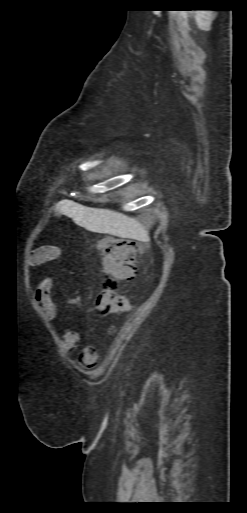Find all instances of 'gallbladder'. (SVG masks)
<instances>
[{
	"mask_svg": "<svg viewBox=\"0 0 247 513\" xmlns=\"http://www.w3.org/2000/svg\"><path fill=\"white\" fill-rule=\"evenodd\" d=\"M56 215H57V216H60L61 214L58 212V213H56Z\"/></svg>",
	"mask_w": 247,
	"mask_h": 513,
	"instance_id": "1",
	"label": "gallbladder"
}]
</instances>
